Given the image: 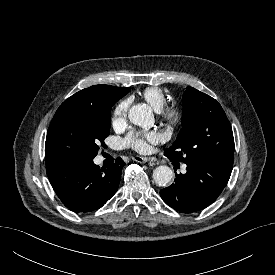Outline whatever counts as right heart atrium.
Segmentation results:
<instances>
[{
	"label": "right heart atrium",
	"mask_w": 275,
	"mask_h": 275,
	"mask_svg": "<svg viewBox=\"0 0 275 275\" xmlns=\"http://www.w3.org/2000/svg\"><path fill=\"white\" fill-rule=\"evenodd\" d=\"M130 105L129 99L121 101L114 109L112 125L116 128L122 127L126 123L127 111Z\"/></svg>",
	"instance_id": "obj_1"
}]
</instances>
